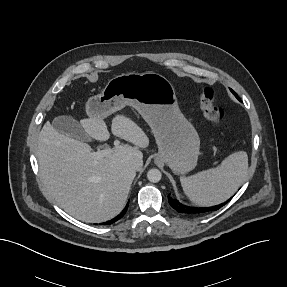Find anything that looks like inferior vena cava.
Instances as JSON below:
<instances>
[{
  "instance_id": "602c4592",
  "label": "inferior vena cava",
  "mask_w": 287,
  "mask_h": 287,
  "mask_svg": "<svg viewBox=\"0 0 287 287\" xmlns=\"http://www.w3.org/2000/svg\"><path fill=\"white\" fill-rule=\"evenodd\" d=\"M143 166V161L142 159H133L131 162H130V167L135 170V171H139Z\"/></svg>"
}]
</instances>
